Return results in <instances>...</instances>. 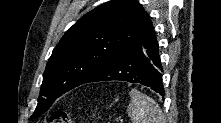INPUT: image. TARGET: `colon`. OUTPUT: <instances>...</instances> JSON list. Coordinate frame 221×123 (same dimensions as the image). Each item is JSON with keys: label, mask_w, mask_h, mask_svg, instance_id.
<instances>
[{"label": "colon", "mask_w": 221, "mask_h": 123, "mask_svg": "<svg viewBox=\"0 0 221 123\" xmlns=\"http://www.w3.org/2000/svg\"><path fill=\"white\" fill-rule=\"evenodd\" d=\"M51 123H73L71 116L65 111H55L50 117Z\"/></svg>", "instance_id": "5ec220e1"}]
</instances>
